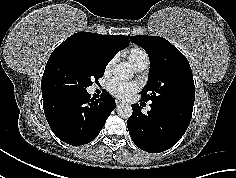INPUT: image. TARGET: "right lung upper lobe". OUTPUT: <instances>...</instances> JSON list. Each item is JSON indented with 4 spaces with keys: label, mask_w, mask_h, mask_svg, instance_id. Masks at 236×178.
I'll list each match as a JSON object with an SVG mask.
<instances>
[{
    "label": "right lung upper lobe",
    "mask_w": 236,
    "mask_h": 178,
    "mask_svg": "<svg viewBox=\"0 0 236 178\" xmlns=\"http://www.w3.org/2000/svg\"><path fill=\"white\" fill-rule=\"evenodd\" d=\"M130 43L124 35H100L96 33L80 32L75 33L62 42L50 55L44 74L51 65L64 53L72 50H86L108 55L111 59L116 53ZM43 74V75H44ZM43 96V94H42Z\"/></svg>",
    "instance_id": "1"
}]
</instances>
